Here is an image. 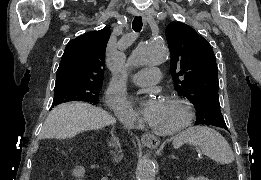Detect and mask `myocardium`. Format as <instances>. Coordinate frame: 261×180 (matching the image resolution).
<instances>
[{"label": "myocardium", "instance_id": "obj_1", "mask_svg": "<svg viewBox=\"0 0 261 180\" xmlns=\"http://www.w3.org/2000/svg\"><path fill=\"white\" fill-rule=\"evenodd\" d=\"M165 98L174 100L183 106V116L179 123V126L172 132L159 133L153 132L147 125V132L160 140H173L180 137L190 125L193 117L192 104L185 96L177 92H169L166 94Z\"/></svg>", "mask_w": 261, "mask_h": 180}]
</instances>
